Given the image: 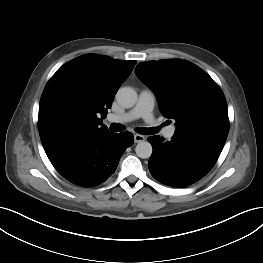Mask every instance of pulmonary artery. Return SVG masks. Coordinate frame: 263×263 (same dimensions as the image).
Returning <instances> with one entry per match:
<instances>
[{"label": "pulmonary artery", "mask_w": 263, "mask_h": 263, "mask_svg": "<svg viewBox=\"0 0 263 263\" xmlns=\"http://www.w3.org/2000/svg\"><path fill=\"white\" fill-rule=\"evenodd\" d=\"M155 96L150 90H143L139 94L137 104L130 111L120 115H110L109 120L114 122H129L138 118H142L148 124H155L156 120L153 115ZM176 127L169 126L163 131L166 138H172L175 134Z\"/></svg>", "instance_id": "e3ab8cb5"}]
</instances>
